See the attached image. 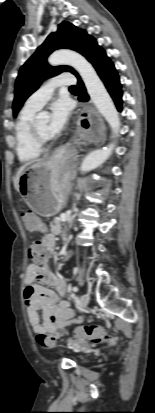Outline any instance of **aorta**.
I'll return each mask as SVG.
<instances>
[{
    "instance_id": "1",
    "label": "aorta",
    "mask_w": 155,
    "mask_h": 413,
    "mask_svg": "<svg viewBox=\"0 0 155 413\" xmlns=\"http://www.w3.org/2000/svg\"><path fill=\"white\" fill-rule=\"evenodd\" d=\"M48 62L52 66L60 64L70 65L79 73L92 102L96 106L99 113L110 125L114 138L118 137L121 125L119 114L104 84L97 75L91 63H89L85 57L79 53L65 49L53 52L48 58ZM45 117V113H39L37 116L38 119ZM114 147L115 143H111L104 148L89 153L82 161L80 171L85 173L99 167L110 157ZM63 240H66L65 232L63 235Z\"/></svg>"
}]
</instances>
